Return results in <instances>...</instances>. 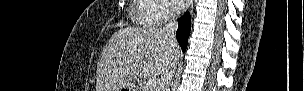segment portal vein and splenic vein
<instances>
[{"label":"portal vein and splenic vein","mask_w":304,"mask_h":91,"mask_svg":"<svg viewBox=\"0 0 304 91\" xmlns=\"http://www.w3.org/2000/svg\"><path fill=\"white\" fill-rule=\"evenodd\" d=\"M158 83H159V80L157 78H150L147 81L146 86L149 88H155Z\"/></svg>","instance_id":"obj_1"}]
</instances>
